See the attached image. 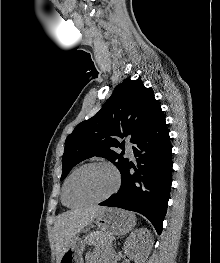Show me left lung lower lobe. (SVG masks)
Listing matches in <instances>:
<instances>
[{
	"label": "left lung lower lobe",
	"instance_id": "left-lung-lower-lobe-1",
	"mask_svg": "<svg viewBox=\"0 0 220 263\" xmlns=\"http://www.w3.org/2000/svg\"><path fill=\"white\" fill-rule=\"evenodd\" d=\"M136 166L127 162L119 191L99 205L141 213L161 234L172 183V146L165 117L134 143ZM134 168L135 172L130 173Z\"/></svg>",
	"mask_w": 220,
	"mask_h": 263
}]
</instances>
